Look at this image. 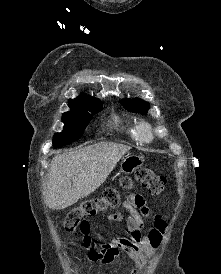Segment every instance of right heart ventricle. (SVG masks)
I'll return each instance as SVG.
<instances>
[{
  "label": "right heart ventricle",
  "mask_w": 221,
  "mask_h": 274,
  "mask_svg": "<svg viewBox=\"0 0 221 274\" xmlns=\"http://www.w3.org/2000/svg\"><path fill=\"white\" fill-rule=\"evenodd\" d=\"M139 125L136 122L120 123V129L122 132L135 142H142L139 135Z\"/></svg>",
  "instance_id": "1"
}]
</instances>
